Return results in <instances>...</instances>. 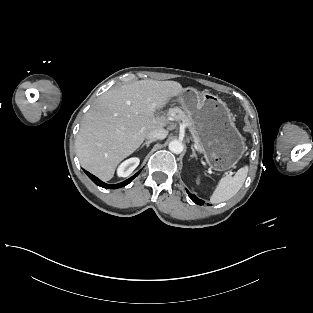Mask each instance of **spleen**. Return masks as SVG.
Returning <instances> with one entry per match:
<instances>
[{"label":"spleen","instance_id":"obj_1","mask_svg":"<svg viewBox=\"0 0 313 313\" xmlns=\"http://www.w3.org/2000/svg\"><path fill=\"white\" fill-rule=\"evenodd\" d=\"M247 173L248 167L244 166L236 172L235 176H225L221 178L210 197V202L212 204H218L235 196L243 186Z\"/></svg>","mask_w":313,"mask_h":313}]
</instances>
